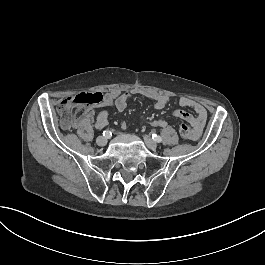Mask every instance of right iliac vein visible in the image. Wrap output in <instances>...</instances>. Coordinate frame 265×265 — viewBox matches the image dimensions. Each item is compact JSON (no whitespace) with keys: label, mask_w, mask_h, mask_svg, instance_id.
<instances>
[{"label":"right iliac vein","mask_w":265,"mask_h":265,"mask_svg":"<svg viewBox=\"0 0 265 265\" xmlns=\"http://www.w3.org/2000/svg\"><path fill=\"white\" fill-rule=\"evenodd\" d=\"M96 143L99 145V146H105L107 144V138L104 137V136H99L97 139H96Z\"/></svg>","instance_id":"right-iliac-vein-1"}]
</instances>
